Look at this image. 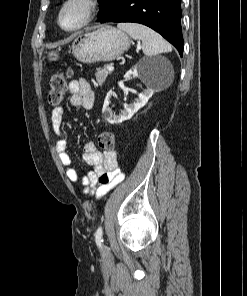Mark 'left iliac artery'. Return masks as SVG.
<instances>
[{
    "instance_id": "1",
    "label": "left iliac artery",
    "mask_w": 247,
    "mask_h": 296,
    "mask_svg": "<svg viewBox=\"0 0 247 296\" xmlns=\"http://www.w3.org/2000/svg\"><path fill=\"white\" fill-rule=\"evenodd\" d=\"M102 233H103V229L102 227H99L95 233V240L97 245L101 246L103 240H102Z\"/></svg>"
}]
</instances>
